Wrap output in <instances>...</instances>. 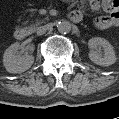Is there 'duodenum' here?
<instances>
[{
  "label": "duodenum",
  "mask_w": 119,
  "mask_h": 119,
  "mask_svg": "<svg viewBox=\"0 0 119 119\" xmlns=\"http://www.w3.org/2000/svg\"><path fill=\"white\" fill-rule=\"evenodd\" d=\"M70 20L73 22H80L82 19V15L79 12H72L69 14ZM14 36L17 40H24L27 37V30L25 28H17L15 30Z\"/></svg>",
  "instance_id": "410a0bca"
}]
</instances>
